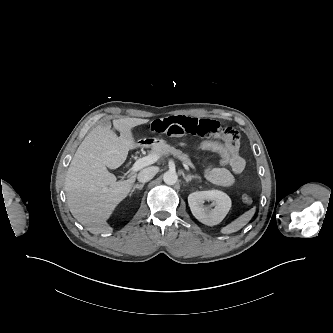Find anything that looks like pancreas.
Instances as JSON below:
<instances>
[{
    "label": "pancreas",
    "mask_w": 333,
    "mask_h": 333,
    "mask_svg": "<svg viewBox=\"0 0 333 333\" xmlns=\"http://www.w3.org/2000/svg\"><path fill=\"white\" fill-rule=\"evenodd\" d=\"M152 154H157L160 157L161 156H166V155H173L177 156L181 160L185 161L187 164H191V160L189 156L185 153H183L181 150H177L174 147L166 144V143H158L153 146L151 150Z\"/></svg>",
    "instance_id": "obj_1"
}]
</instances>
